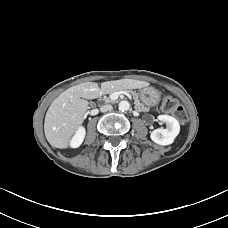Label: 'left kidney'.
I'll return each instance as SVG.
<instances>
[{
	"instance_id": "1",
	"label": "left kidney",
	"mask_w": 228,
	"mask_h": 228,
	"mask_svg": "<svg viewBox=\"0 0 228 228\" xmlns=\"http://www.w3.org/2000/svg\"><path fill=\"white\" fill-rule=\"evenodd\" d=\"M158 119L166 124V128L151 132V140L162 146L172 144L180 132L179 122L169 115H159Z\"/></svg>"
}]
</instances>
